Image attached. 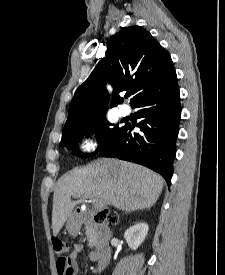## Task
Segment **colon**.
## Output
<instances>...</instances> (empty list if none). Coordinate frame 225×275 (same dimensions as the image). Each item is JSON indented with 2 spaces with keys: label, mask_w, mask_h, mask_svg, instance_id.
Instances as JSON below:
<instances>
[{
  "label": "colon",
  "mask_w": 225,
  "mask_h": 275,
  "mask_svg": "<svg viewBox=\"0 0 225 275\" xmlns=\"http://www.w3.org/2000/svg\"><path fill=\"white\" fill-rule=\"evenodd\" d=\"M96 219L106 225H114L118 220V216L110 210H103L96 215ZM52 246L55 254L57 255L56 268L58 274L70 275L71 267L67 258L69 244L59 238H55L52 240Z\"/></svg>",
  "instance_id": "5ec220e1"
}]
</instances>
